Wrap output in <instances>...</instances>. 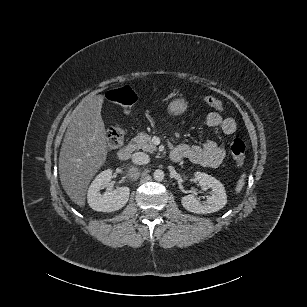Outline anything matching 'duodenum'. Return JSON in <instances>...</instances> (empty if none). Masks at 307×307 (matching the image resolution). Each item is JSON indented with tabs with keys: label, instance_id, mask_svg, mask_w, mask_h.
I'll return each instance as SVG.
<instances>
[{
	"label": "duodenum",
	"instance_id": "410a0bca",
	"mask_svg": "<svg viewBox=\"0 0 307 307\" xmlns=\"http://www.w3.org/2000/svg\"><path fill=\"white\" fill-rule=\"evenodd\" d=\"M133 148L131 145H126L118 151V158L121 161H127L132 154Z\"/></svg>",
	"mask_w": 307,
	"mask_h": 307
}]
</instances>
